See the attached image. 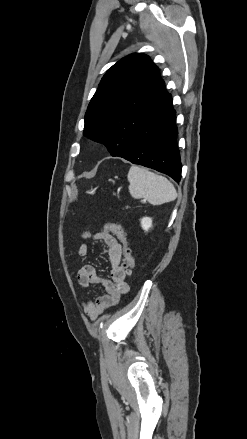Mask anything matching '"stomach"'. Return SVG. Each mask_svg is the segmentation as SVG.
<instances>
[{
	"label": "stomach",
	"instance_id": "obj_1",
	"mask_svg": "<svg viewBox=\"0 0 247 439\" xmlns=\"http://www.w3.org/2000/svg\"><path fill=\"white\" fill-rule=\"evenodd\" d=\"M90 193L93 194V193H94V190H91Z\"/></svg>",
	"mask_w": 247,
	"mask_h": 439
}]
</instances>
